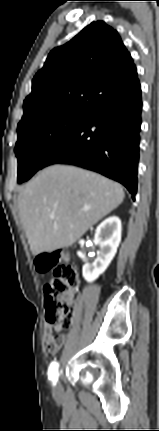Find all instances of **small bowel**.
<instances>
[{
    "instance_id": "1",
    "label": "small bowel",
    "mask_w": 159,
    "mask_h": 431,
    "mask_svg": "<svg viewBox=\"0 0 159 431\" xmlns=\"http://www.w3.org/2000/svg\"><path fill=\"white\" fill-rule=\"evenodd\" d=\"M72 295L70 294V299ZM66 333L64 327L59 324L46 322L44 325V342L47 350L55 354L65 343Z\"/></svg>"
}]
</instances>
